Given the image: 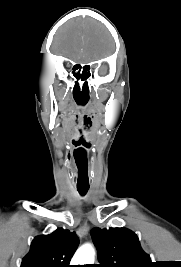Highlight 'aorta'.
<instances>
[{"instance_id": "1", "label": "aorta", "mask_w": 181, "mask_h": 267, "mask_svg": "<svg viewBox=\"0 0 181 267\" xmlns=\"http://www.w3.org/2000/svg\"><path fill=\"white\" fill-rule=\"evenodd\" d=\"M95 260V250L91 244L82 245L72 258L73 265L93 264Z\"/></svg>"}]
</instances>
